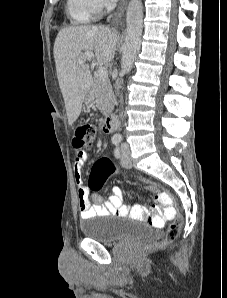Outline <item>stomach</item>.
<instances>
[{"label":"stomach","instance_id":"0dacf381","mask_svg":"<svg viewBox=\"0 0 227 298\" xmlns=\"http://www.w3.org/2000/svg\"><path fill=\"white\" fill-rule=\"evenodd\" d=\"M93 99H94L93 94L88 93L84 99L85 106L89 107L93 103Z\"/></svg>","mask_w":227,"mask_h":298}]
</instances>
